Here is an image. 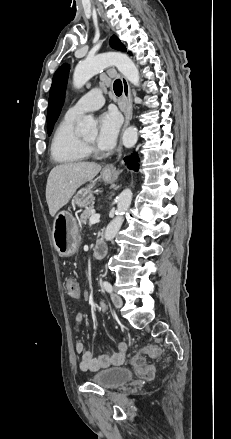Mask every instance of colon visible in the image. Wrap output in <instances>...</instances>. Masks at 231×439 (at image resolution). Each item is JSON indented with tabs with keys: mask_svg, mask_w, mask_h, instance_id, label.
<instances>
[{
	"mask_svg": "<svg viewBox=\"0 0 231 439\" xmlns=\"http://www.w3.org/2000/svg\"><path fill=\"white\" fill-rule=\"evenodd\" d=\"M74 278H69L65 282V290L69 298H80L81 292L83 291L80 282H76ZM162 351L159 347L150 345L141 349L138 353L130 358V365L135 369L137 374L146 379L152 380L155 375V369L152 365L147 364L146 357L150 358H160L162 357ZM168 360V358H166Z\"/></svg>",
	"mask_w": 231,
	"mask_h": 439,
	"instance_id": "obj_1",
	"label": "colon"
}]
</instances>
